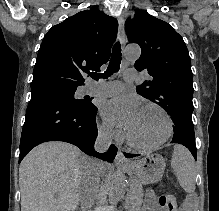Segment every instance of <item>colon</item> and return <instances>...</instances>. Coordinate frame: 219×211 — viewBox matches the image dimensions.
<instances>
[{"mask_svg":"<svg viewBox=\"0 0 219 211\" xmlns=\"http://www.w3.org/2000/svg\"><path fill=\"white\" fill-rule=\"evenodd\" d=\"M159 205L167 211H174L176 208V198L172 194H164L159 197Z\"/></svg>","mask_w":219,"mask_h":211,"instance_id":"obj_1","label":"colon"}]
</instances>
